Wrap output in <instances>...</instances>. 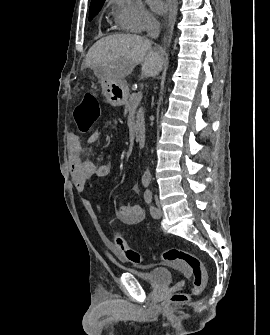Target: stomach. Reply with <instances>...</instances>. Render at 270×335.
<instances>
[{
  "label": "stomach",
  "instance_id": "stomach-1",
  "mask_svg": "<svg viewBox=\"0 0 270 335\" xmlns=\"http://www.w3.org/2000/svg\"><path fill=\"white\" fill-rule=\"evenodd\" d=\"M101 88L104 98L112 106H123L127 102L129 88L127 82L116 80V70L113 67H100Z\"/></svg>",
  "mask_w": 270,
  "mask_h": 335
}]
</instances>
